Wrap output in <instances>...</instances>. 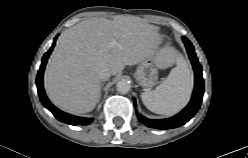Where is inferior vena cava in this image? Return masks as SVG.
Returning a JSON list of instances; mask_svg holds the SVG:
<instances>
[{"mask_svg":"<svg viewBox=\"0 0 248 158\" xmlns=\"http://www.w3.org/2000/svg\"><path fill=\"white\" fill-rule=\"evenodd\" d=\"M111 74H112V72H111L110 69L104 68V69H102V70L100 71V73H99V78H100V80H102V81H106V80H108V79L110 78Z\"/></svg>","mask_w":248,"mask_h":158,"instance_id":"obj_1","label":"inferior vena cava"}]
</instances>
